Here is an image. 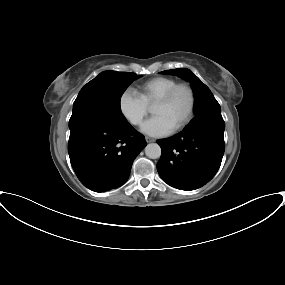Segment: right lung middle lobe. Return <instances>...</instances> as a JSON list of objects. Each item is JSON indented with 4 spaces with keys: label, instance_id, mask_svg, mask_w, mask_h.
<instances>
[{
    "label": "right lung middle lobe",
    "instance_id": "obj_1",
    "mask_svg": "<svg viewBox=\"0 0 285 285\" xmlns=\"http://www.w3.org/2000/svg\"><path fill=\"white\" fill-rule=\"evenodd\" d=\"M135 73L105 71L88 82L73 104L69 128L87 119H101L112 124L127 123L120 108V98L137 78Z\"/></svg>",
    "mask_w": 285,
    "mask_h": 285
}]
</instances>
